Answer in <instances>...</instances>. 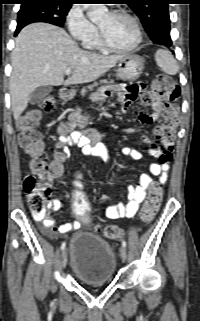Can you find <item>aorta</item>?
<instances>
[{"instance_id":"762f6f07","label":"aorta","mask_w":200,"mask_h":321,"mask_svg":"<svg viewBox=\"0 0 200 321\" xmlns=\"http://www.w3.org/2000/svg\"><path fill=\"white\" fill-rule=\"evenodd\" d=\"M87 9V15L91 21L97 22L108 12L105 4H85Z\"/></svg>"}]
</instances>
